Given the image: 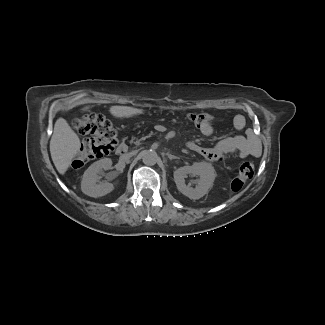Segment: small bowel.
<instances>
[{
	"label": "small bowel",
	"instance_id": "small-bowel-1",
	"mask_svg": "<svg viewBox=\"0 0 325 325\" xmlns=\"http://www.w3.org/2000/svg\"><path fill=\"white\" fill-rule=\"evenodd\" d=\"M207 114L209 120L199 127V129L205 136H212L215 133V125L221 122L222 118L209 113ZM245 123V118L242 115H236L233 118V126L236 130H242L245 127ZM188 147L211 161H222L230 155H237L244 158L257 153L252 143L242 134L225 137L211 147H204L195 143H190Z\"/></svg>",
	"mask_w": 325,
	"mask_h": 325
}]
</instances>
